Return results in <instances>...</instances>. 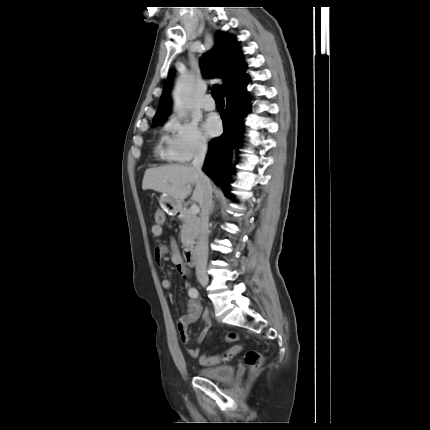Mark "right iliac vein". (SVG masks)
I'll use <instances>...</instances> for the list:
<instances>
[{
  "instance_id": "63e3f726",
  "label": "right iliac vein",
  "mask_w": 430,
  "mask_h": 430,
  "mask_svg": "<svg viewBox=\"0 0 430 430\" xmlns=\"http://www.w3.org/2000/svg\"><path fill=\"white\" fill-rule=\"evenodd\" d=\"M199 282L203 287H206L209 283V279L208 277L204 276V277H200L199 278Z\"/></svg>"
}]
</instances>
